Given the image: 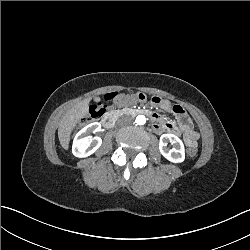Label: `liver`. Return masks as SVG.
Instances as JSON below:
<instances>
[{
	"mask_svg": "<svg viewBox=\"0 0 250 250\" xmlns=\"http://www.w3.org/2000/svg\"><path fill=\"white\" fill-rule=\"evenodd\" d=\"M89 102L90 99L77 102L62 118L58 128V138L65 150L69 148L70 135L76 124L87 115Z\"/></svg>",
	"mask_w": 250,
	"mask_h": 250,
	"instance_id": "obj_1",
	"label": "liver"
}]
</instances>
